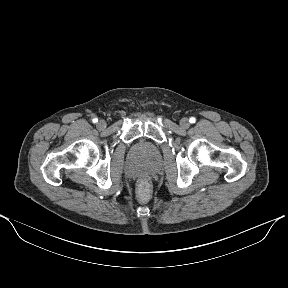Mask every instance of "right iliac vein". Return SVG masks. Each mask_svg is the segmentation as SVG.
Returning <instances> with one entry per match:
<instances>
[{"label":"right iliac vein","instance_id":"right-iliac-vein-1","mask_svg":"<svg viewBox=\"0 0 288 288\" xmlns=\"http://www.w3.org/2000/svg\"><path fill=\"white\" fill-rule=\"evenodd\" d=\"M107 126L106 122L104 120H99L98 123H97V128L99 130H103L105 129Z\"/></svg>","mask_w":288,"mask_h":288}]
</instances>
